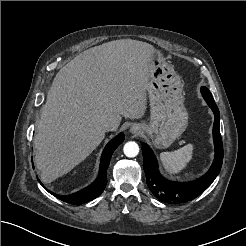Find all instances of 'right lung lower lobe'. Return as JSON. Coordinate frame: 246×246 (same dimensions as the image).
<instances>
[{"label":"right lung lower lobe","instance_id":"right-lung-lower-lobe-1","mask_svg":"<svg viewBox=\"0 0 246 246\" xmlns=\"http://www.w3.org/2000/svg\"><path fill=\"white\" fill-rule=\"evenodd\" d=\"M124 138H125L124 134L120 133L118 136H116L113 140H111L107 144L101 157L99 175L97 179L90 186L86 187L85 189L79 192L70 195H64V196L55 194L47 189L46 190L52 195H54L55 197H57L58 199L73 205H80L95 199L103 192L107 184L106 171L109 166L111 156L114 150L124 141ZM40 184L43 186L41 182Z\"/></svg>","mask_w":246,"mask_h":246}]
</instances>
